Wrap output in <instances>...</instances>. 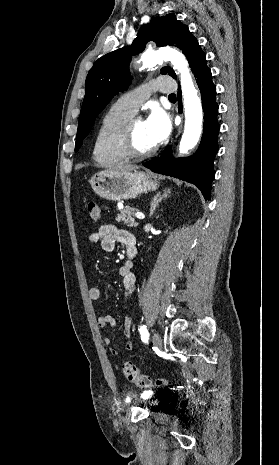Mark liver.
I'll list each match as a JSON object with an SVG mask.
<instances>
[{
	"label": "liver",
	"mask_w": 279,
	"mask_h": 465,
	"mask_svg": "<svg viewBox=\"0 0 279 465\" xmlns=\"http://www.w3.org/2000/svg\"><path fill=\"white\" fill-rule=\"evenodd\" d=\"M135 169H137L136 165L119 164V165H116L114 168H112L111 170H108V171H132V170H135Z\"/></svg>",
	"instance_id": "obj_1"
}]
</instances>
